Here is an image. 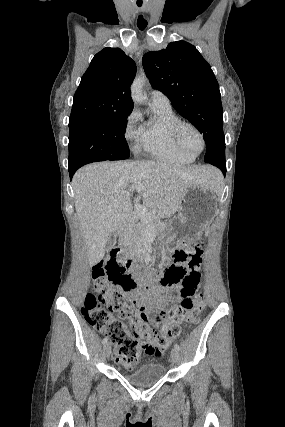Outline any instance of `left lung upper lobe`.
<instances>
[{
	"mask_svg": "<svg viewBox=\"0 0 285 427\" xmlns=\"http://www.w3.org/2000/svg\"><path fill=\"white\" fill-rule=\"evenodd\" d=\"M143 67L154 89L203 134L205 162L225 154L223 109L219 85L210 65L185 41L171 42L166 49L148 52Z\"/></svg>",
	"mask_w": 285,
	"mask_h": 427,
	"instance_id": "obj_1",
	"label": "left lung upper lobe"
}]
</instances>
